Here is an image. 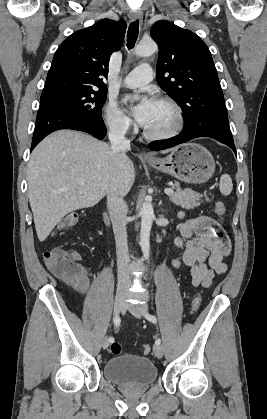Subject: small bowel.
<instances>
[{
	"label": "small bowel",
	"mask_w": 267,
	"mask_h": 419,
	"mask_svg": "<svg viewBox=\"0 0 267 419\" xmlns=\"http://www.w3.org/2000/svg\"><path fill=\"white\" fill-rule=\"evenodd\" d=\"M183 240H187L185 251L181 259L172 261L173 267L178 269L184 264L189 268V280L193 286L209 287L214 275L223 274L227 269L224 259L231 252L228 235L217 221L202 216L183 223L180 236L175 239V248H180ZM43 260L50 269L44 257ZM62 280L82 296L86 295L89 288L87 270L84 269L79 276L63 277Z\"/></svg>",
	"instance_id": "c3829d8e"
}]
</instances>
